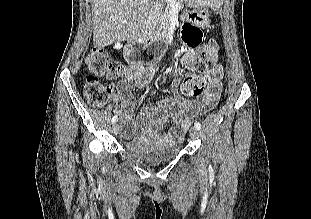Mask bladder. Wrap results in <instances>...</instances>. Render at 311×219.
I'll return each instance as SVG.
<instances>
[{"label":"bladder","mask_w":311,"mask_h":219,"mask_svg":"<svg viewBox=\"0 0 311 219\" xmlns=\"http://www.w3.org/2000/svg\"><path fill=\"white\" fill-rule=\"evenodd\" d=\"M126 150L145 161L160 162L176 157L181 151V145L171 144L163 147H154L143 141H132L125 143Z\"/></svg>","instance_id":"bladder-1"}]
</instances>
